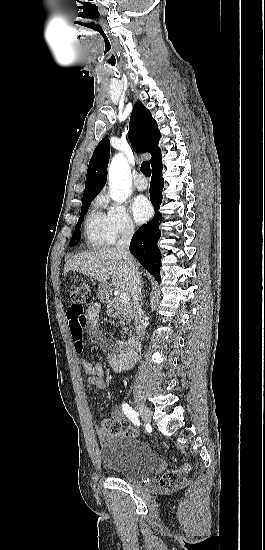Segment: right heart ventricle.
<instances>
[{
  "mask_svg": "<svg viewBox=\"0 0 265 550\" xmlns=\"http://www.w3.org/2000/svg\"><path fill=\"white\" fill-rule=\"evenodd\" d=\"M84 235L88 245L93 247H102L112 243L106 227L105 214L93 208L84 224Z\"/></svg>",
  "mask_w": 265,
  "mask_h": 550,
  "instance_id": "1",
  "label": "right heart ventricle"
}]
</instances>
